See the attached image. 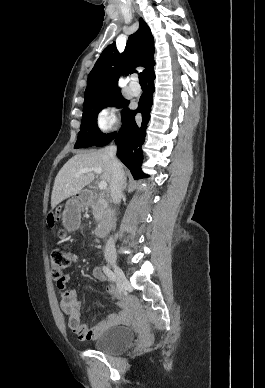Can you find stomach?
Masks as SVG:
<instances>
[{"instance_id": "0dacf381", "label": "stomach", "mask_w": 265, "mask_h": 388, "mask_svg": "<svg viewBox=\"0 0 265 388\" xmlns=\"http://www.w3.org/2000/svg\"><path fill=\"white\" fill-rule=\"evenodd\" d=\"M81 202L77 198L67 201L63 211V224L69 229H75L80 222Z\"/></svg>"}]
</instances>
